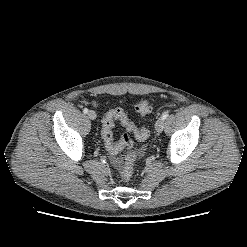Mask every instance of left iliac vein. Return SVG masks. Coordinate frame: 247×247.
Instances as JSON below:
<instances>
[{
    "label": "left iliac vein",
    "instance_id": "4c4485c4",
    "mask_svg": "<svg viewBox=\"0 0 247 247\" xmlns=\"http://www.w3.org/2000/svg\"><path fill=\"white\" fill-rule=\"evenodd\" d=\"M163 128H164V120L162 118H159L157 121H156V124H155V129L158 133L162 132L163 131Z\"/></svg>",
    "mask_w": 247,
    "mask_h": 247
}]
</instances>
